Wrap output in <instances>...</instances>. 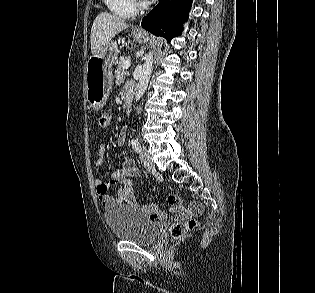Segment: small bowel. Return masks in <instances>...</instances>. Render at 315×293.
<instances>
[{"label": "small bowel", "instance_id": "obj_1", "mask_svg": "<svg viewBox=\"0 0 315 293\" xmlns=\"http://www.w3.org/2000/svg\"><path fill=\"white\" fill-rule=\"evenodd\" d=\"M133 85L128 84L126 87V93L133 91ZM111 125V118L109 117L108 126L104 130H108ZM127 136V130L124 128L120 131L117 139V144L119 147L124 146ZM107 147L105 144H101L98 149V158L95 161V165L100 167L103 164L104 156L106 153ZM139 170L135 166V163L132 159L127 158L123 161L121 169L116 172L109 183L103 182L101 179L94 180L95 190L98 196L100 203L104 207H110L112 205L121 203L123 201H127L130 203H134V185L135 180L139 177ZM121 185V187L117 190L116 195L111 196L108 193L109 187L113 185ZM150 220H157V221H164L166 218L164 217V213L161 211H156L154 207H149ZM171 215H178L179 209L178 208H171L170 209Z\"/></svg>", "mask_w": 315, "mask_h": 293}]
</instances>
